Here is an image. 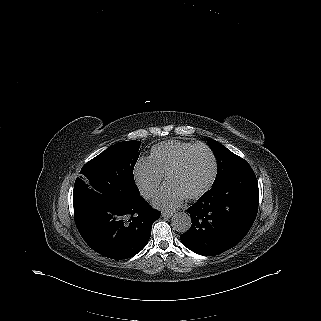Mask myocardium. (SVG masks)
Here are the masks:
<instances>
[{
    "mask_svg": "<svg viewBox=\"0 0 321 321\" xmlns=\"http://www.w3.org/2000/svg\"><path fill=\"white\" fill-rule=\"evenodd\" d=\"M199 150H205L206 152H208V154L210 155V157L212 159L213 170H212V174H211L209 180L201 188H199L198 190H196L194 192L184 193V196L188 199H195V198L200 197L201 195L206 193L212 187L213 183L215 182V179L217 176V171H218V165H217L216 157H215L213 151L211 150V148H209L206 145L196 146L194 149L189 151L187 153V155L166 175L167 184L173 188H176L172 184L173 178L176 177L178 174H180L183 170H185L188 167V164L191 161L192 157Z\"/></svg>",
    "mask_w": 321,
    "mask_h": 321,
    "instance_id": "1",
    "label": "myocardium"
}]
</instances>
